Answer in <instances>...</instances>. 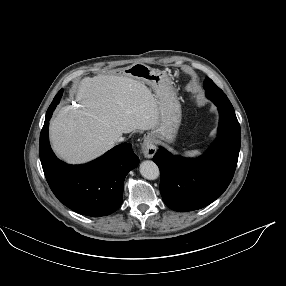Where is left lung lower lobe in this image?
<instances>
[{
	"label": "left lung lower lobe",
	"mask_w": 286,
	"mask_h": 286,
	"mask_svg": "<svg viewBox=\"0 0 286 286\" xmlns=\"http://www.w3.org/2000/svg\"><path fill=\"white\" fill-rule=\"evenodd\" d=\"M214 103L220 114L218 138L207 153L189 159L161 147L153 157L160 169L162 198L172 210L186 212L209 205L233 178L241 143L240 125L229 100Z\"/></svg>",
	"instance_id": "left-lung-lower-lobe-1"
}]
</instances>
